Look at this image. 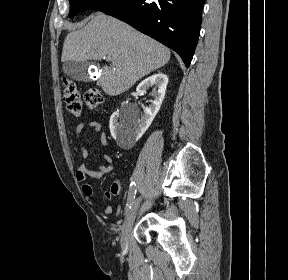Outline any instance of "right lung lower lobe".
<instances>
[{
    "instance_id": "1",
    "label": "right lung lower lobe",
    "mask_w": 288,
    "mask_h": 280,
    "mask_svg": "<svg viewBox=\"0 0 288 280\" xmlns=\"http://www.w3.org/2000/svg\"><path fill=\"white\" fill-rule=\"evenodd\" d=\"M203 5L204 0H120L99 10L168 46L189 67Z\"/></svg>"
}]
</instances>
